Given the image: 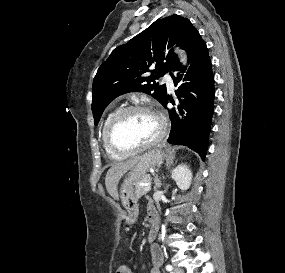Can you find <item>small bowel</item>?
Segmentation results:
<instances>
[{"instance_id":"obj_1","label":"small bowel","mask_w":285,"mask_h":273,"mask_svg":"<svg viewBox=\"0 0 285 273\" xmlns=\"http://www.w3.org/2000/svg\"><path fill=\"white\" fill-rule=\"evenodd\" d=\"M151 210H155V208L150 205L148 206V213L151 211ZM151 255H152V261H153V268L151 269V273H160V264L162 262V255H161V252L160 250L158 249V247L154 246L151 250ZM123 268H125L127 270L126 273H134V269L130 268V267H127V266H121Z\"/></svg>"}]
</instances>
